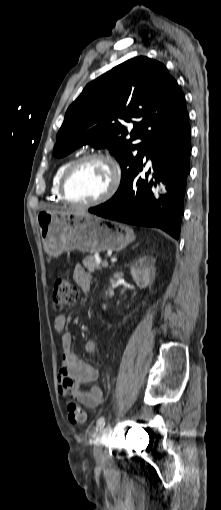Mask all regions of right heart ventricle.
I'll return each mask as SVG.
<instances>
[{"label": "right heart ventricle", "instance_id": "obj_1", "mask_svg": "<svg viewBox=\"0 0 221 510\" xmlns=\"http://www.w3.org/2000/svg\"><path fill=\"white\" fill-rule=\"evenodd\" d=\"M71 162H72L71 159L63 161L62 163H60L58 165V167L56 168V170L53 174L52 181H51V198L55 202H63V199L61 198L60 192H59V184H60V180L63 175V172L65 171V169L68 167V165Z\"/></svg>", "mask_w": 221, "mask_h": 510}]
</instances>
